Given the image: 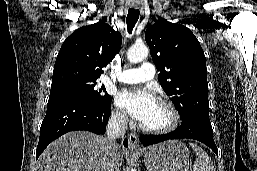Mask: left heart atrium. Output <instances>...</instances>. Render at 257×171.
Instances as JSON below:
<instances>
[{
    "label": "left heart atrium",
    "instance_id": "39dd6f15",
    "mask_svg": "<svg viewBox=\"0 0 257 171\" xmlns=\"http://www.w3.org/2000/svg\"><path fill=\"white\" fill-rule=\"evenodd\" d=\"M116 104L142 123L156 106L157 100L149 90H123L117 95Z\"/></svg>",
    "mask_w": 257,
    "mask_h": 171
}]
</instances>
